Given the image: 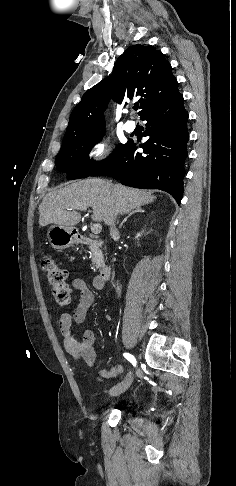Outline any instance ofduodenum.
Here are the masks:
<instances>
[{
    "mask_svg": "<svg viewBox=\"0 0 236 486\" xmlns=\"http://www.w3.org/2000/svg\"><path fill=\"white\" fill-rule=\"evenodd\" d=\"M79 241L82 244L91 245L93 247H99L101 245L99 240L84 235L79 236ZM110 276L111 267L109 265H102L97 276L98 282L104 285L110 279Z\"/></svg>",
    "mask_w": 236,
    "mask_h": 486,
    "instance_id": "410a0bca",
    "label": "duodenum"
}]
</instances>
